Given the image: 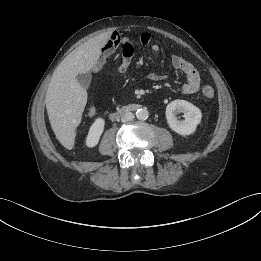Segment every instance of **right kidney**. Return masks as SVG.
I'll return each instance as SVG.
<instances>
[{
	"mask_svg": "<svg viewBox=\"0 0 261 261\" xmlns=\"http://www.w3.org/2000/svg\"><path fill=\"white\" fill-rule=\"evenodd\" d=\"M105 120L101 117L95 119L90 126L88 135L86 137V146L89 148L95 147L104 131Z\"/></svg>",
	"mask_w": 261,
	"mask_h": 261,
	"instance_id": "obj_1",
	"label": "right kidney"
}]
</instances>
